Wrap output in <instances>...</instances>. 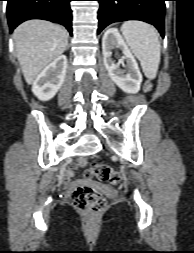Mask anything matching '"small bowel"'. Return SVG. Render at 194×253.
<instances>
[{"instance_id":"1","label":"small bowel","mask_w":194,"mask_h":253,"mask_svg":"<svg viewBox=\"0 0 194 253\" xmlns=\"http://www.w3.org/2000/svg\"><path fill=\"white\" fill-rule=\"evenodd\" d=\"M74 175H75V173H74V171L73 170H68L66 173H65V175H64V177H63V182H64V184H65V186L67 187V188H72L73 187V183H72V178L74 177Z\"/></svg>"}]
</instances>
